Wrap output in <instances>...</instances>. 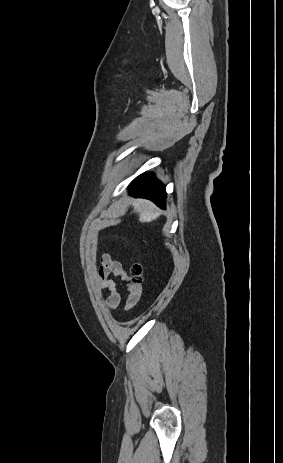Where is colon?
Segmentation results:
<instances>
[{
    "label": "colon",
    "mask_w": 283,
    "mask_h": 463,
    "mask_svg": "<svg viewBox=\"0 0 283 463\" xmlns=\"http://www.w3.org/2000/svg\"><path fill=\"white\" fill-rule=\"evenodd\" d=\"M131 274H132V283H133V292L136 294L140 290V285L143 282L142 278V267L135 263L131 267Z\"/></svg>",
    "instance_id": "5ec220e1"
}]
</instances>
